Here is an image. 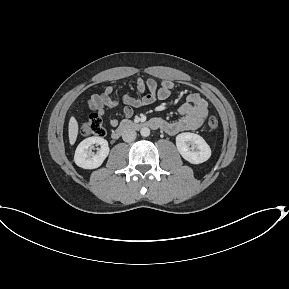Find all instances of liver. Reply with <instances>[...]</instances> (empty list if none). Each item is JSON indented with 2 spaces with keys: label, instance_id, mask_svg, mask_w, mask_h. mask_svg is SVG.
<instances>
[{
  "label": "liver",
  "instance_id": "obj_1",
  "mask_svg": "<svg viewBox=\"0 0 289 289\" xmlns=\"http://www.w3.org/2000/svg\"><path fill=\"white\" fill-rule=\"evenodd\" d=\"M78 122L75 119V117H71L69 120V126H68V135H69V142L71 145H73L77 139L78 135Z\"/></svg>",
  "mask_w": 289,
  "mask_h": 289
}]
</instances>
